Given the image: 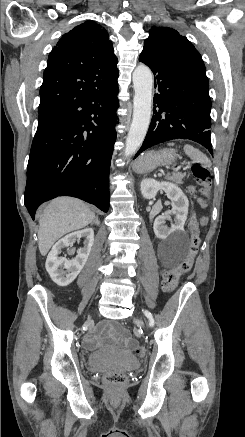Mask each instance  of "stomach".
<instances>
[{
    "instance_id": "obj_1",
    "label": "stomach",
    "mask_w": 245,
    "mask_h": 437,
    "mask_svg": "<svg viewBox=\"0 0 245 437\" xmlns=\"http://www.w3.org/2000/svg\"><path fill=\"white\" fill-rule=\"evenodd\" d=\"M176 156L173 149L146 152L136 160L133 168L137 173H148L159 166L172 164Z\"/></svg>"
}]
</instances>
